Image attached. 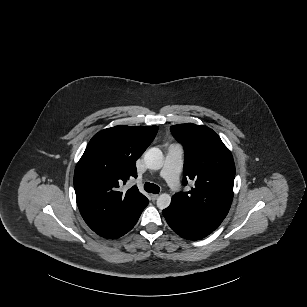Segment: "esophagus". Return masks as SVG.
Segmentation results:
<instances>
[{"mask_svg":"<svg viewBox=\"0 0 307 307\" xmlns=\"http://www.w3.org/2000/svg\"><path fill=\"white\" fill-rule=\"evenodd\" d=\"M152 201H155L158 198L157 194H150Z\"/></svg>","mask_w":307,"mask_h":307,"instance_id":"obj_1","label":"esophagus"}]
</instances>
